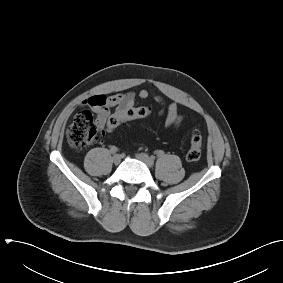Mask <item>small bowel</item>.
Masks as SVG:
<instances>
[{
    "instance_id": "1",
    "label": "small bowel",
    "mask_w": 283,
    "mask_h": 283,
    "mask_svg": "<svg viewBox=\"0 0 283 283\" xmlns=\"http://www.w3.org/2000/svg\"><path fill=\"white\" fill-rule=\"evenodd\" d=\"M149 92L146 89L140 90L137 94L133 91L126 93H117L111 96L93 95L82 102L83 106L89 107L96 114V125L98 130H103L108 118L116 113L124 111L136 105V98L141 100L146 99ZM154 99L157 103L163 106L159 114L165 115V127L176 128L180 125L182 117L179 114L178 105L176 102H171L167 108H164L165 101L162 96L155 95ZM114 109V112H111Z\"/></svg>"
}]
</instances>
